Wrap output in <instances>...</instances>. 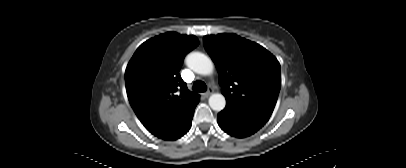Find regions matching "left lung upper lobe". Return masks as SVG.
<instances>
[{
  "instance_id": "5c2ea615",
  "label": "left lung upper lobe",
  "mask_w": 406,
  "mask_h": 168,
  "mask_svg": "<svg viewBox=\"0 0 406 168\" xmlns=\"http://www.w3.org/2000/svg\"><path fill=\"white\" fill-rule=\"evenodd\" d=\"M203 43L217 67L227 104L270 117L281 87L278 60L235 34L208 35Z\"/></svg>"
}]
</instances>
